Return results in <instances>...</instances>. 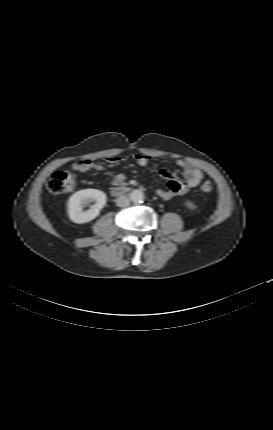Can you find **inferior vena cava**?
<instances>
[{
    "instance_id": "obj_1",
    "label": "inferior vena cava",
    "mask_w": 273,
    "mask_h": 430,
    "mask_svg": "<svg viewBox=\"0 0 273 430\" xmlns=\"http://www.w3.org/2000/svg\"><path fill=\"white\" fill-rule=\"evenodd\" d=\"M116 202H117V206H119V207H127L130 203L128 197H126V196L118 197Z\"/></svg>"
}]
</instances>
